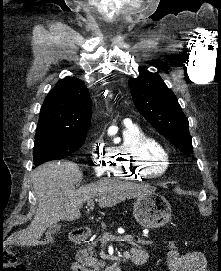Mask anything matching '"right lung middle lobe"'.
Listing matches in <instances>:
<instances>
[{"instance_id": "right-lung-middle-lobe-1", "label": "right lung middle lobe", "mask_w": 221, "mask_h": 271, "mask_svg": "<svg viewBox=\"0 0 221 271\" xmlns=\"http://www.w3.org/2000/svg\"><path fill=\"white\" fill-rule=\"evenodd\" d=\"M86 136L87 134L55 135L36 133L33 156L35 166L47 161L66 158L83 145Z\"/></svg>"}]
</instances>
